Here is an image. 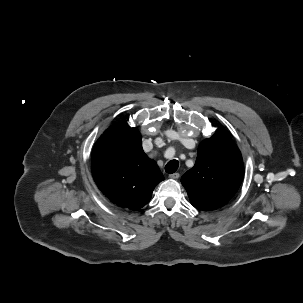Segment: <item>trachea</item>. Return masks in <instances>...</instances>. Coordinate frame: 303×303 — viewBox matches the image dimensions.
Listing matches in <instances>:
<instances>
[{
  "instance_id": "trachea-1",
  "label": "trachea",
  "mask_w": 303,
  "mask_h": 303,
  "mask_svg": "<svg viewBox=\"0 0 303 303\" xmlns=\"http://www.w3.org/2000/svg\"><path fill=\"white\" fill-rule=\"evenodd\" d=\"M179 167V162L177 160L169 161L165 166V171L169 174L174 173Z\"/></svg>"
}]
</instances>
